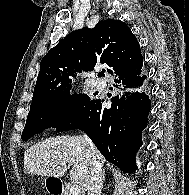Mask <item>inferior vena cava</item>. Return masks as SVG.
Wrapping results in <instances>:
<instances>
[{
  "label": "inferior vena cava",
  "instance_id": "obj_1",
  "mask_svg": "<svg viewBox=\"0 0 189 195\" xmlns=\"http://www.w3.org/2000/svg\"><path fill=\"white\" fill-rule=\"evenodd\" d=\"M86 142L90 148V175L88 182V195H101V182H102V165L96 155V149L92 141L87 135H84Z\"/></svg>",
  "mask_w": 189,
  "mask_h": 195
}]
</instances>
